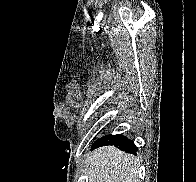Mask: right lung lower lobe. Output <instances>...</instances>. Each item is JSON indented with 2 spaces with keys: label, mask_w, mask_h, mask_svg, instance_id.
<instances>
[{
  "label": "right lung lower lobe",
  "mask_w": 196,
  "mask_h": 182,
  "mask_svg": "<svg viewBox=\"0 0 196 182\" xmlns=\"http://www.w3.org/2000/svg\"><path fill=\"white\" fill-rule=\"evenodd\" d=\"M105 145H114L115 147H118L120 150L134 155H136L138 151V148L135 146L133 141H131L130 139L126 138L121 134L104 136L103 138L97 140L93 144V148Z\"/></svg>",
  "instance_id": "1"
}]
</instances>
